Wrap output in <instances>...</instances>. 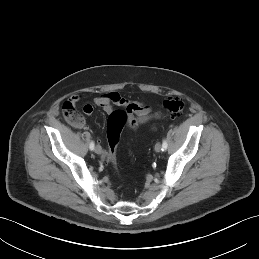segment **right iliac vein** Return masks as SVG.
Segmentation results:
<instances>
[{"instance_id": "1", "label": "right iliac vein", "mask_w": 259, "mask_h": 259, "mask_svg": "<svg viewBox=\"0 0 259 259\" xmlns=\"http://www.w3.org/2000/svg\"><path fill=\"white\" fill-rule=\"evenodd\" d=\"M94 151H95L96 154H100L102 152V148L99 145H97L95 147Z\"/></svg>"}]
</instances>
